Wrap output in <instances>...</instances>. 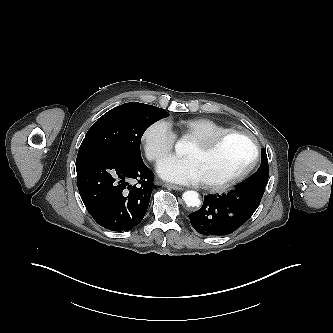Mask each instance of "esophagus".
I'll return each mask as SVG.
<instances>
[{
    "label": "esophagus",
    "instance_id": "34e87169",
    "mask_svg": "<svg viewBox=\"0 0 333 333\" xmlns=\"http://www.w3.org/2000/svg\"><path fill=\"white\" fill-rule=\"evenodd\" d=\"M165 187L173 189V190H183L184 188L178 185H174V184H169V183H165L164 184Z\"/></svg>",
    "mask_w": 333,
    "mask_h": 333
}]
</instances>
